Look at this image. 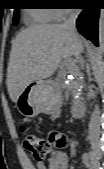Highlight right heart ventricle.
<instances>
[{"instance_id":"1","label":"right heart ventricle","mask_w":104,"mask_h":169,"mask_svg":"<svg viewBox=\"0 0 104 169\" xmlns=\"http://www.w3.org/2000/svg\"><path fill=\"white\" fill-rule=\"evenodd\" d=\"M30 17L37 23L46 24L56 20L55 10L52 8H36L30 10Z\"/></svg>"}]
</instances>
